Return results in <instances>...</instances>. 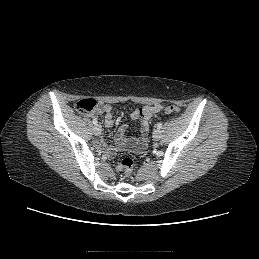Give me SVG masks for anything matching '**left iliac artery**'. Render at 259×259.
<instances>
[{
    "instance_id": "44dca946",
    "label": "left iliac artery",
    "mask_w": 259,
    "mask_h": 259,
    "mask_svg": "<svg viewBox=\"0 0 259 259\" xmlns=\"http://www.w3.org/2000/svg\"><path fill=\"white\" fill-rule=\"evenodd\" d=\"M157 128L161 129L162 128V123H158Z\"/></svg>"
}]
</instances>
